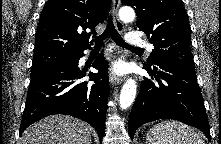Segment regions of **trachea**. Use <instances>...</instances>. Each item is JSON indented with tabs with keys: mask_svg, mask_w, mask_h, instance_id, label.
Segmentation results:
<instances>
[{
	"mask_svg": "<svg viewBox=\"0 0 221 144\" xmlns=\"http://www.w3.org/2000/svg\"><path fill=\"white\" fill-rule=\"evenodd\" d=\"M111 36V38L114 40V42L123 47V48H128V49H134V50H143L142 48H136L128 45L123 38L120 36V34L117 32L115 29V26L112 22V17L109 16L108 18V24L107 27L104 31V33L99 36L98 38L95 39V47H101L103 40L106 39L107 37Z\"/></svg>",
	"mask_w": 221,
	"mask_h": 144,
	"instance_id": "trachea-1",
	"label": "trachea"
}]
</instances>
